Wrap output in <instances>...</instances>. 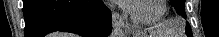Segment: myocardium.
Returning <instances> with one entry per match:
<instances>
[{
    "label": "myocardium",
    "instance_id": "obj_1",
    "mask_svg": "<svg viewBox=\"0 0 219 37\" xmlns=\"http://www.w3.org/2000/svg\"><path fill=\"white\" fill-rule=\"evenodd\" d=\"M136 1H142V0H136ZM158 5H159L158 12L154 16H151V17H140L136 15L133 12L132 7L128 8V14L132 22L136 25H152L160 21L167 11L166 0H159Z\"/></svg>",
    "mask_w": 219,
    "mask_h": 37
}]
</instances>
